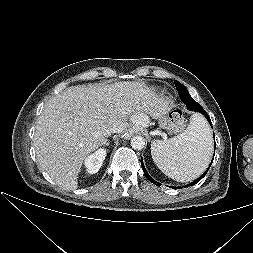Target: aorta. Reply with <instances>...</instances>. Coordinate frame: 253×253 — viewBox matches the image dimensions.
Returning a JSON list of instances; mask_svg holds the SVG:
<instances>
[{
  "instance_id": "obj_1",
  "label": "aorta",
  "mask_w": 253,
  "mask_h": 253,
  "mask_svg": "<svg viewBox=\"0 0 253 253\" xmlns=\"http://www.w3.org/2000/svg\"><path fill=\"white\" fill-rule=\"evenodd\" d=\"M131 146L135 150H142L145 147V140L141 136H135L131 139Z\"/></svg>"
}]
</instances>
